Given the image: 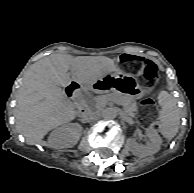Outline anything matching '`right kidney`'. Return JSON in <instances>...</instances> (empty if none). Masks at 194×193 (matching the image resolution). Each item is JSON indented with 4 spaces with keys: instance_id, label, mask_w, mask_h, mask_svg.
I'll return each mask as SVG.
<instances>
[{
    "instance_id": "right-kidney-1",
    "label": "right kidney",
    "mask_w": 194,
    "mask_h": 193,
    "mask_svg": "<svg viewBox=\"0 0 194 193\" xmlns=\"http://www.w3.org/2000/svg\"><path fill=\"white\" fill-rule=\"evenodd\" d=\"M82 128L79 124L68 123L56 128L48 137L50 148H71L79 140Z\"/></svg>"
}]
</instances>
